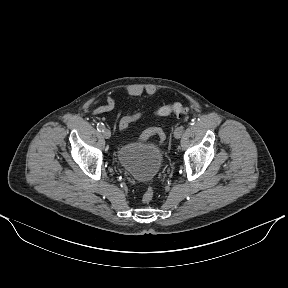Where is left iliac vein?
<instances>
[{
	"mask_svg": "<svg viewBox=\"0 0 288 288\" xmlns=\"http://www.w3.org/2000/svg\"><path fill=\"white\" fill-rule=\"evenodd\" d=\"M182 134H183V130H181V129H179V127H177L174 131V137L176 139H179V138H181Z\"/></svg>",
	"mask_w": 288,
	"mask_h": 288,
	"instance_id": "1",
	"label": "left iliac vein"
}]
</instances>
